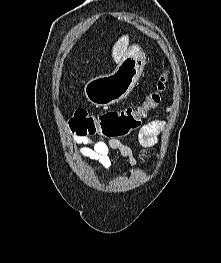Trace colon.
<instances>
[{
  "label": "colon",
  "mask_w": 221,
  "mask_h": 263,
  "mask_svg": "<svg viewBox=\"0 0 221 263\" xmlns=\"http://www.w3.org/2000/svg\"><path fill=\"white\" fill-rule=\"evenodd\" d=\"M166 76L162 75L155 89L147 94L137 106L108 110L94 115L86 110L78 109L70 120V128L78 136L119 138L139 128L147 114L155 109L166 87Z\"/></svg>",
  "instance_id": "obj_1"
}]
</instances>
